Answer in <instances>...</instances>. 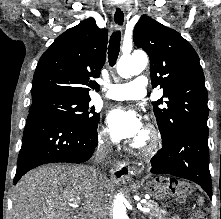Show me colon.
Here are the masks:
<instances>
[{
  "label": "colon",
  "mask_w": 221,
  "mask_h": 219,
  "mask_svg": "<svg viewBox=\"0 0 221 219\" xmlns=\"http://www.w3.org/2000/svg\"><path fill=\"white\" fill-rule=\"evenodd\" d=\"M186 191H187V188L184 185L178 184L175 193L178 197L182 198L184 194L186 193ZM190 219H206V218L203 213L198 212V213L193 214L190 217Z\"/></svg>",
  "instance_id": "obj_1"
}]
</instances>
